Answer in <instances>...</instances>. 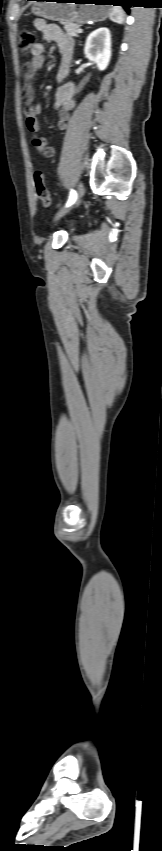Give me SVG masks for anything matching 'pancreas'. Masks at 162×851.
Instances as JSON below:
<instances>
[{
	"label": "pancreas",
	"instance_id": "1",
	"mask_svg": "<svg viewBox=\"0 0 162 851\" xmlns=\"http://www.w3.org/2000/svg\"><path fill=\"white\" fill-rule=\"evenodd\" d=\"M64 29L67 35L72 37L78 36V30L80 29V25L76 23H63Z\"/></svg>",
	"mask_w": 162,
	"mask_h": 851
}]
</instances>
